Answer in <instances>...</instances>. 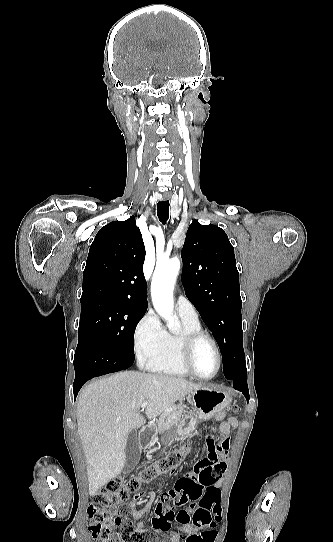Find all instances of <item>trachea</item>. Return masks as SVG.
Instances as JSON below:
<instances>
[{"instance_id":"obj_1","label":"trachea","mask_w":333,"mask_h":542,"mask_svg":"<svg viewBox=\"0 0 333 542\" xmlns=\"http://www.w3.org/2000/svg\"><path fill=\"white\" fill-rule=\"evenodd\" d=\"M157 215L162 223H166L169 217V200L157 203Z\"/></svg>"}]
</instances>
